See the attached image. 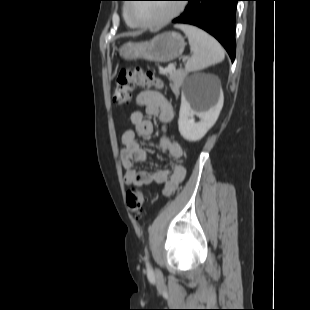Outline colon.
<instances>
[{"mask_svg":"<svg viewBox=\"0 0 310 310\" xmlns=\"http://www.w3.org/2000/svg\"><path fill=\"white\" fill-rule=\"evenodd\" d=\"M135 86L161 88L162 82L155 73L142 68L121 70L114 83L113 101L117 105H125L130 101ZM144 196L141 190L132 186L127 190V204L132 213L139 216L143 210Z\"/></svg>","mask_w":310,"mask_h":310,"instance_id":"1","label":"colon"}]
</instances>
